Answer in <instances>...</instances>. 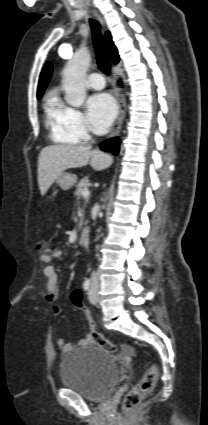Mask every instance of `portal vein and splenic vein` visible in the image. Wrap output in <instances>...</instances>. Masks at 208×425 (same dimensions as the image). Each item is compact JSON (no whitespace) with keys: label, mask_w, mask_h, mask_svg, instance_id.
Listing matches in <instances>:
<instances>
[{"label":"portal vein and splenic vein","mask_w":208,"mask_h":425,"mask_svg":"<svg viewBox=\"0 0 208 425\" xmlns=\"http://www.w3.org/2000/svg\"><path fill=\"white\" fill-rule=\"evenodd\" d=\"M89 196V191H88V189H85L84 191H83V197L84 198H87Z\"/></svg>","instance_id":"obj_1"}]
</instances>
